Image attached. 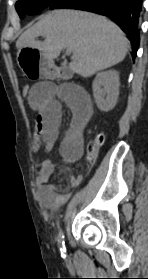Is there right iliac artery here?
I'll return each instance as SVG.
<instances>
[{
  "label": "right iliac artery",
  "mask_w": 148,
  "mask_h": 279,
  "mask_svg": "<svg viewBox=\"0 0 148 279\" xmlns=\"http://www.w3.org/2000/svg\"><path fill=\"white\" fill-rule=\"evenodd\" d=\"M58 245H59V249H60L61 253L64 254L66 252V248H65V242H64V234H63L62 230H60V232L58 234Z\"/></svg>",
  "instance_id": "right-iliac-artery-1"
}]
</instances>
